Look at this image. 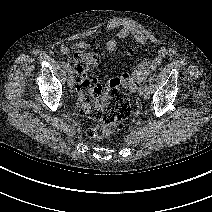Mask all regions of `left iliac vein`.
<instances>
[{"label":"left iliac vein","instance_id":"obj_1","mask_svg":"<svg viewBox=\"0 0 212 212\" xmlns=\"http://www.w3.org/2000/svg\"><path fill=\"white\" fill-rule=\"evenodd\" d=\"M138 94H139L140 96L145 95V92H144V88H143V87H140V88H139Z\"/></svg>","mask_w":212,"mask_h":212}]
</instances>
